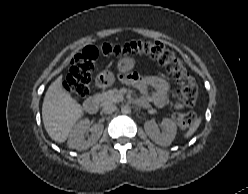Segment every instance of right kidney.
<instances>
[{"label": "right kidney", "instance_id": "right-kidney-1", "mask_svg": "<svg viewBox=\"0 0 248 194\" xmlns=\"http://www.w3.org/2000/svg\"><path fill=\"white\" fill-rule=\"evenodd\" d=\"M102 124L90 126L88 119H83L77 123L69 135L68 147L78 151L86 150L97 142L103 132ZM91 131L92 134L88 139L85 136Z\"/></svg>", "mask_w": 248, "mask_h": 194}]
</instances>
